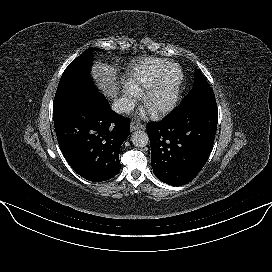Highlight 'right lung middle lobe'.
Returning <instances> with one entry per match:
<instances>
[{
  "label": "right lung middle lobe",
  "instance_id": "obj_1",
  "mask_svg": "<svg viewBox=\"0 0 272 272\" xmlns=\"http://www.w3.org/2000/svg\"><path fill=\"white\" fill-rule=\"evenodd\" d=\"M97 50V48L85 50L65 69L55 94L53 115L60 112L62 106L72 97L85 92H97L92 80L89 79L92 53Z\"/></svg>",
  "mask_w": 272,
  "mask_h": 272
}]
</instances>
